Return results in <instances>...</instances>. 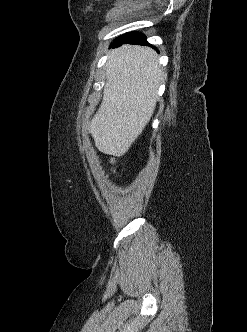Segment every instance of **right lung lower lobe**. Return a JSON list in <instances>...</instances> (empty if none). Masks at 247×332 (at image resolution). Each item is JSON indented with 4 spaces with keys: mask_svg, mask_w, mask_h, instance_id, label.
<instances>
[{
    "mask_svg": "<svg viewBox=\"0 0 247 332\" xmlns=\"http://www.w3.org/2000/svg\"><path fill=\"white\" fill-rule=\"evenodd\" d=\"M145 39H146L145 35H143L142 33L131 32V33H127V34L115 39L113 44H112V47L119 46L122 43L144 45V44H147Z\"/></svg>",
    "mask_w": 247,
    "mask_h": 332,
    "instance_id": "right-lung-lower-lobe-1",
    "label": "right lung lower lobe"
}]
</instances>
